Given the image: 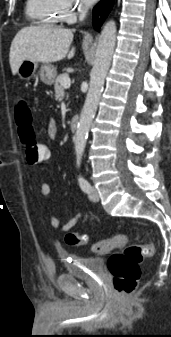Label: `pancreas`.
Instances as JSON below:
<instances>
[{"label": "pancreas", "instance_id": "1", "mask_svg": "<svg viewBox=\"0 0 171 337\" xmlns=\"http://www.w3.org/2000/svg\"><path fill=\"white\" fill-rule=\"evenodd\" d=\"M68 76L67 73H63L61 75H59L57 78H56V81H55V85H54V89H55V96L56 98H58L59 100H62L63 97H64V87L62 85V79L64 77Z\"/></svg>", "mask_w": 171, "mask_h": 337}]
</instances>
